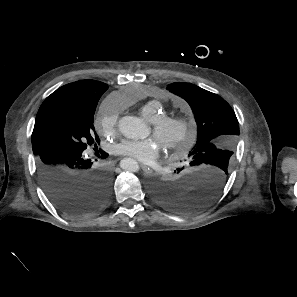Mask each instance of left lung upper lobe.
I'll return each mask as SVG.
<instances>
[{
	"instance_id": "5c2ea615",
	"label": "left lung upper lobe",
	"mask_w": 297,
	"mask_h": 297,
	"mask_svg": "<svg viewBox=\"0 0 297 297\" xmlns=\"http://www.w3.org/2000/svg\"><path fill=\"white\" fill-rule=\"evenodd\" d=\"M167 89L184 98L195 115L198 138L189 159L195 164L218 162L229 171L239 135L238 120L230 105L219 95L191 83L176 82Z\"/></svg>"
}]
</instances>
